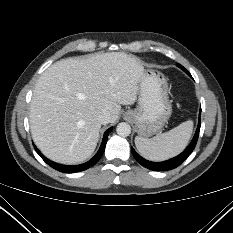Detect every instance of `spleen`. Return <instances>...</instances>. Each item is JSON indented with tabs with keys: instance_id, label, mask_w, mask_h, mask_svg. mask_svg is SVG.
I'll list each match as a JSON object with an SVG mask.
<instances>
[{
	"instance_id": "3e777b00",
	"label": "spleen",
	"mask_w": 233,
	"mask_h": 233,
	"mask_svg": "<svg viewBox=\"0 0 233 233\" xmlns=\"http://www.w3.org/2000/svg\"><path fill=\"white\" fill-rule=\"evenodd\" d=\"M193 130V121L188 120L168 132L153 138L135 137L139 153L151 161H163L178 155L187 146Z\"/></svg>"
}]
</instances>
